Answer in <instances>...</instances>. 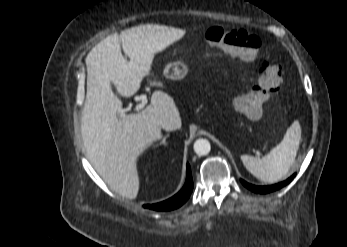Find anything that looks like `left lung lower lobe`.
Here are the masks:
<instances>
[{"label": "left lung lower lobe", "instance_id": "obj_1", "mask_svg": "<svg viewBox=\"0 0 347 247\" xmlns=\"http://www.w3.org/2000/svg\"><path fill=\"white\" fill-rule=\"evenodd\" d=\"M295 177V174L292 175L290 178H288L286 181H283L281 183L275 184V185H271V186H254L251 184H248L247 182H245L244 180H241L242 184L244 186H246L247 188H249L250 190L256 192V193H269L272 191H276L282 187H284L285 185H287L293 178Z\"/></svg>", "mask_w": 347, "mask_h": 247}]
</instances>
